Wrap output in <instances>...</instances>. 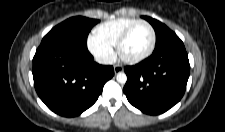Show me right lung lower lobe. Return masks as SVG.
<instances>
[{
    "label": "right lung lower lobe",
    "mask_w": 225,
    "mask_h": 132,
    "mask_svg": "<svg viewBox=\"0 0 225 132\" xmlns=\"http://www.w3.org/2000/svg\"><path fill=\"white\" fill-rule=\"evenodd\" d=\"M113 75L112 66L94 62L84 47L40 44L33 58L38 96L50 110L65 117L78 116L91 107Z\"/></svg>",
    "instance_id": "obj_1"
}]
</instances>
